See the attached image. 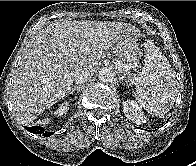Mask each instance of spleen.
<instances>
[{"mask_svg":"<svg viewBox=\"0 0 196 166\" xmlns=\"http://www.w3.org/2000/svg\"><path fill=\"white\" fill-rule=\"evenodd\" d=\"M146 60L137 79L135 97L150 114H165L176 99V80L167 58L151 41L144 46Z\"/></svg>","mask_w":196,"mask_h":166,"instance_id":"3e777b00","label":"spleen"}]
</instances>
